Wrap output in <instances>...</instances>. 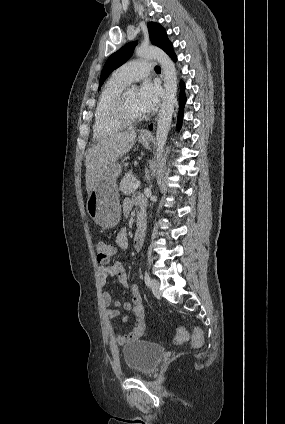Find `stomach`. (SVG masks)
<instances>
[{
  "label": "stomach",
  "instance_id": "0dacf381",
  "mask_svg": "<svg viewBox=\"0 0 285 424\" xmlns=\"http://www.w3.org/2000/svg\"><path fill=\"white\" fill-rule=\"evenodd\" d=\"M139 141L149 147V138L139 137ZM122 172L120 163H112L102 175L100 181L94 185L87 198V212L92 220L103 229L115 227L121 218L119 190L117 177Z\"/></svg>",
  "mask_w": 285,
  "mask_h": 424
}]
</instances>
